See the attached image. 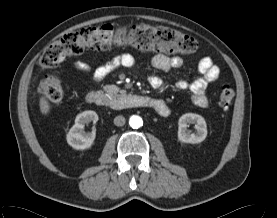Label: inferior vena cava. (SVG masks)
<instances>
[{"instance_id":"602c4592","label":"inferior vena cava","mask_w":277,"mask_h":218,"mask_svg":"<svg viewBox=\"0 0 277 218\" xmlns=\"http://www.w3.org/2000/svg\"><path fill=\"white\" fill-rule=\"evenodd\" d=\"M125 122H126L125 117H123L122 115H118L114 118V124L116 126H123Z\"/></svg>"}]
</instances>
